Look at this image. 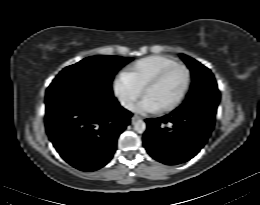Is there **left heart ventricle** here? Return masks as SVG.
<instances>
[{
	"label": "left heart ventricle",
	"mask_w": 260,
	"mask_h": 205,
	"mask_svg": "<svg viewBox=\"0 0 260 205\" xmlns=\"http://www.w3.org/2000/svg\"><path fill=\"white\" fill-rule=\"evenodd\" d=\"M186 73L182 68L169 71L145 97L151 99L159 108L173 102L182 92L186 84Z\"/></svg>",
	"instance_id": "left-heart-ventricle-1"
}]
</instances>
